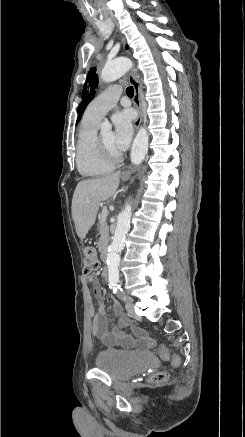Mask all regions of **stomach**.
<instances>
[{"label":"stomach","instance_id":"0dacf381","mask_svg":"<svg viewBox=\"0 0 245 437\" xmlns=\"http://www.w3.org/2000/svg\"><path fill=\"white\" fill-rule=\"evenodd\" d=\"M128 177H129V174H128V173H125V174H123L122 179H123V180H127Z\"/></svg>","mask_w":245,"mask_h":437}]
</instances>
